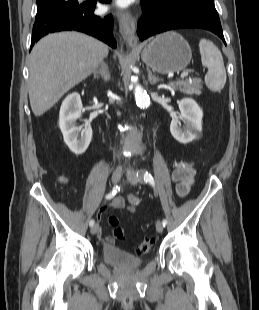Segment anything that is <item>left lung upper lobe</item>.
<instances>
[{"mask_svg":"<svg viewBox=\"0 0 259 310\" xmlns=\"http://www.w3.org/2000/svg\"><path fill=\"white\" fill-rule=\"evenodd\" d=\"M160 11H171L173 9L193 4H207L214 6L213 0H147Z\"/></svg>","mask_w":259,"mask_h":310,"instance_id":"left-lung-upper-lobe-1","label":"left lung upper lobe"}]
</instances>
